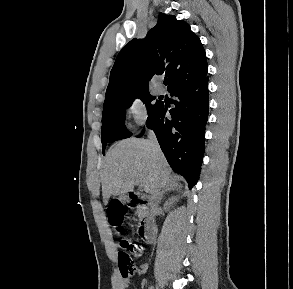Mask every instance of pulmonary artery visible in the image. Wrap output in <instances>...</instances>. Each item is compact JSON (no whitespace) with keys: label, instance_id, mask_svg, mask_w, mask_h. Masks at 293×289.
<instances>
[{"label":"pulmonary artery","instance_id":"pulmonary-artery-1","mask_svg":"<svg viewBox=\"0 0 293 289\" xmlns=\"http://www.w3.org/2000/svg\"><path fill=\"white\" fill-rule=\"evenodd\" d=\"M155 89L156 92L160 95L164 93V88L161 83H156Z\"/></svg>","mask_w":293,"mask_h":289}]
</instances>
